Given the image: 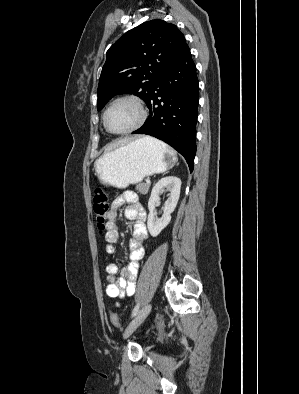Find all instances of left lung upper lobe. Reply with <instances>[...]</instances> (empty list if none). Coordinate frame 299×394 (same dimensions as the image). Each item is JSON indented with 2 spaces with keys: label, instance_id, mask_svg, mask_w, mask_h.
<instances>
[{
  "label": "left lung upper lobe",
  "instance_id": "left-lung-upper-lobe-1",
  "mask_svg": "<svg viewBox=\"0 0 299 394\" xmlns=\"http://www.w3.org/2000/svg\"><path fill=\"white\" fill-rule=\"evenodd\" d=\"M186 46L180 30L163 20L144 22L125 33L107 51L97 109L122 93L135 94L147 103L161 74Z\"/></svg>",
  "mask_w": 299,
  "mask_h": 394
}]
</instances>
